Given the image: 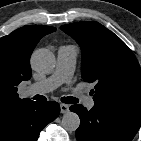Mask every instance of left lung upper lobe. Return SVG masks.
<instances>
[{"instance_id":"obj_1","label":"left lung upper lobe","mask_w":141,"mask_h":141,"mask_svg":"<svg viewBox=\"0 0 141 141\" xmlns=\"http://www.w3.org/2000/svg\"><path fill=\"white\" fill-rule=\"evenodd\" d=\"M61 29L82 48V78L96 84L95 105L141 118V69L129 47L98 22H77Z\"/></svg>"}]
</instances>
